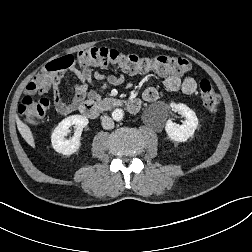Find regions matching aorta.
Returning a JSON list of instances; mask_svg holds the SVG:
<instances>
[{"label": "aorta", "mask_w": 252, "mask_h": 252, "mask_svg": "<svg viewBox=\"0 0 252 252\" xmlns=\"http://www.w3.org/2000/svg\"><path fill=\"white\" fill-rule=\"evenodd\" d=\"M112 117L115 121H121L124 117V111L120 108H117L112 112Z\"/></svg>", "instance_id": "762f6f07"}]
</instances>
